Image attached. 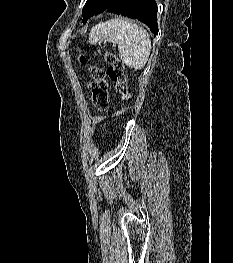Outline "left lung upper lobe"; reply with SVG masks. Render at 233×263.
<instances>
[{
    "label": "left lung upper lobe",
    "mask_w": 233,
    "mask_h": 263,
    "mask_svg": "<svg viewBox=\"0 0 233 263\" xmlns=\"http://www.w3.org/2000/svg\"><path fill=\"white\" fill-rule=\"evenodd\" d=\"M115 1L116 0H87L82 10L83 22L85 23L91 16L103 12Z\"/></svg>",
    "instance_id": "1"
}]
</instances>
